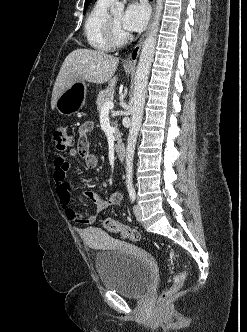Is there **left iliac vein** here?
Listing matches in <instances>:
<instances>
[{"label":"left iliac vein","mask_w":247,"mask_h":332,"mask_svg":"<svg viewBox=\"0 0 247 332\" xmlns=\"http://www.w3.org/2000/svg\"><path fill=\"white\" fill-rule=\"evenodd\" d=\"M133 212H134V215L136 216L137 220L140 221L142 218V210H141L140 205H138V204L134 205Z\"/></svg>","instance_id":"left-iliac-vein-1"}]
</instances>
